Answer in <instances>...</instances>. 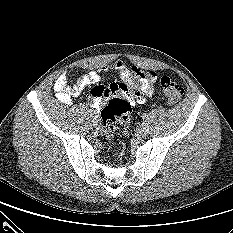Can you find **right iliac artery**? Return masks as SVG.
<instances>
[{"label":"right iliac artery","instance_id":"1","mask_svg":"<svg viewBox=\"0 0 233 233\" xmlns=\"http://www.w3.org/2000/svg\"><path fill=\"white\" fill-rule=\"evenodd\" d=\"M95 114H96L95 110H93V109L89 110L90 117H95Z\"/></svg>","mask_w":233,"mask_h":233}]
</instances>
